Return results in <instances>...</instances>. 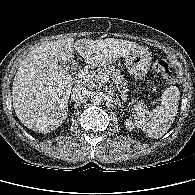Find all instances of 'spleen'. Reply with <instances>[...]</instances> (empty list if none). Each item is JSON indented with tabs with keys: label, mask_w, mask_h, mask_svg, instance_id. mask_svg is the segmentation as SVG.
<instances>
[{
	"label": "spleen",
	"mask_w": 195,
	"mask_h": 195,
	"mask_svg": "<svg viewBox=\"0 0 195 195\" xmlns=\"http://www.w3.org/2000/svg\"><path fill=\"white\" fill-rule=\"evenodd\" d=\"M180 92L176 86L167 87L161 105L151 111L140 109L135 115V125L150 138L162 137L171 127L178 111Z\"/></svg>",
	"instance_id": "3e777b00"
}]
</instances>
